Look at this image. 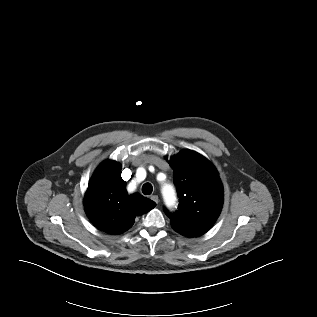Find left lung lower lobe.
<instances>
[{
    "label": "left lung lower lobe",
    "mask_w": 317,
    "mask_h": 317,
    "mask_svg": "<svg viewBox=\"0 0 317 317\" xmlns=\"http://www.w3.org/2000/svg\"><path fill=\"white\" fill-rule=\"evenodd\" d=\"M178 233L187 236V237H196L206 233L208 230L197 229L193 227L187 226H179L177 227Z\"/></svg>",
    "instance_id": "left-lung-lower-lobe-1"
}]
</instances>
